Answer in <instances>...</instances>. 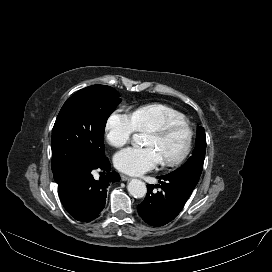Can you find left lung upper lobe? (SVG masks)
Here are the masks:
<instances>
[{"label":"left lung upper lobe","instance_id":"obj_1","mask_svg":"<svg viewBox=\"0 0 272 272\" xmlns=\"http://www.w3.org/2000/svg\"><path fill=\"white\" fill-rule=\"evenodd\" d=\"M206 152V135L203 127H197L196 144L192 156L188 161L169 175L177 178H185L194 183H198Z\"/></svg>","mask_w":272,"mask_h":272}]
</instances>
